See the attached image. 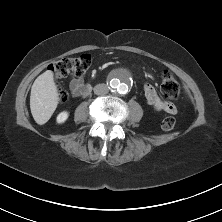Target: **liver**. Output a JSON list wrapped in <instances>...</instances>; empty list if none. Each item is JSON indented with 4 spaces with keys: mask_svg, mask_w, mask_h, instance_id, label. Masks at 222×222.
<instances>
[{
    "mask_svg": "<svg viewBox=\"0 0 222 222\" xmlns=\"http://www.w3.org/2000/svg\"><path fill=\"white\" fill-rule=\"evenodd\" d=\"M59 101L53 72L45 71L34 81L30 95V109L35 122L45 124L53 115Z\"/></svg>",
    "mask_w": 222,
    "mask_h": 222,
    "instance_id": "1",
    "label": "liver"
}]
</instances>
